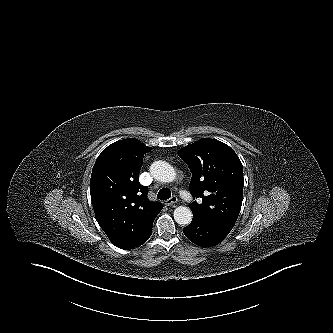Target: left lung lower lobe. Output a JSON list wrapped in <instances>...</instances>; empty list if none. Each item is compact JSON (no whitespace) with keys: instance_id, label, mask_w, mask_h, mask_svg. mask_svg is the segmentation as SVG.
Masks as SVG:
<instances>
[{"instance_id":"obj_1","label":"left lung lower lobe","mask_w":333,"mask_h":333,"mask_svg":"<svg viewBox=\"0 0 333 333\" xmlns=\"http://www.w3.org/2000/svg\"><path fill=\"white\" fill-rule=\"evenodd\" d=\"M183 231L193 243L202 247H211L221 243L231 229L193 214L192 222Z\"/></svg>"}]
</instances>
